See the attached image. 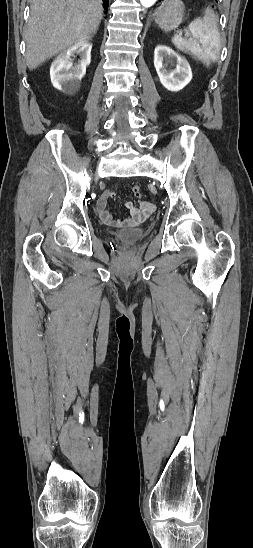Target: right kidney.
<instances>
[{
    "instance_id": "obj_1",
    "label": "right kidney",
    "mask_w": 253,
    "mask_h": 548,
    "mask_svg": "<svg viewBox=\"0 0 253 548\" xmlns=\"http://www.w3.org/2000/svg\"><path fill=\"white\" fill-rule=\"evenodd\" d=\"M91 49V43L80 42L56 57L50 68L51 82L56 89L68 94L78 89L86 67L91 62ZM76 55H80V60L73 66Z\"/></svg>"
}]
</instances>
